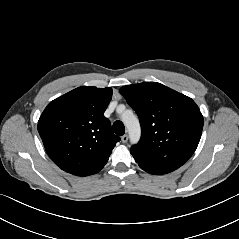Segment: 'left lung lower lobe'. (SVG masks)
Instances as JSON below:
<instances>
[{
  "label": "left lung lower lobe",
  "instance_id": "obj_1",
  "mask_svg": "<svg viewBox=\"0 0 239 239\" xmlns=\"http://www.w3.org/2000/svg\"><path fill=\"white\" fill-rule=\"evenodd\" d=\"M141 167V166H140ZM143 170H145L146 172H148V173H151V174H156V175H160V174H157V173H155V172H152V171H150V170H147V169H145V168H143V167H141Z\"/></svg>",
  "mask_w": 239,
  "mask_h": 239
}]
</instances>
